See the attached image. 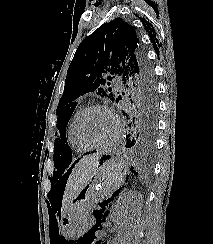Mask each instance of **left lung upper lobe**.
I'll use <instances>...</instances> for the list:
<instances>
[{"mask_svg":"<svg viewBox=\"0 0 213 244\" xmlns=\"http://www.w3.org/2000/svg\"><path fill=\"white\" fill-rule=\"evenodd\" d=\"M120 88L113 93L110 86ZM95 92L112 101L123 100L135 116L157 117L153 71L133 27L121 18L103 24L84 39L70 63L56 114L58 138L54 144L57 170L70 164L71 151L65 129L77 99ZM122 92V93H121Z\"/></svg>","mask_w":213,"mask_h":244,"instance_id":"5c2ea615","label":"left lung upper lobe"}]
</instances>
